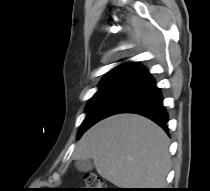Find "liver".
Returning a JSON list of instances; mask_svg holds the SVG:
<instances>
[{
	"label": "liver",
	"mask_w": 210,
	"mask_h": 191,
	"mask_svg": "<svg viewBox=\"0 0 210 191\" xmlns=\"http://www.w3.org/2000/svg\"><path fill=\"white\" fill-rule=\"evenodd\" d=\"M170 140L151 120L118 114L94 125L74 159H92L99 175L119 188H163L170 170Z\"/></svg>",
	"instance_id": "1"
}]
</instances>
